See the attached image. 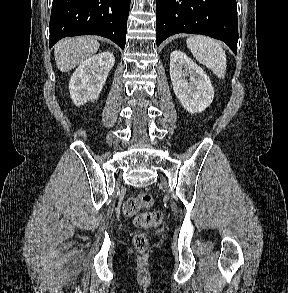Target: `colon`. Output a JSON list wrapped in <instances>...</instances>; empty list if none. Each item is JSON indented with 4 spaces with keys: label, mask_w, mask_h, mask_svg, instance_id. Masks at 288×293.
<instances>
[{
    "label": "colon",
    "mask_w": 288,
    "mask_h": 293,
    "mask_svg": "<svg viewBox=\"0 0 288 293\" xmlns=\"http://www.w3.org/2000/svg\"><path fill=\"white\" fill-rule=\"evenodd\" d=\"M153 203L151 195L143 193L129 198L123 205V212L128 217H134V223L138 227H152L160 223L162 213L160 211L140 212L142 209H148ZM133 247L143 252L148 248L149 239L145 234L139 233L133 237Z\"/></svg>",
    "instance_id": "colon-1"
}]
</instances>
